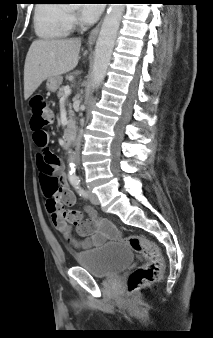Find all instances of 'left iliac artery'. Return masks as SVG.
<instances>
[{
	"mask_svg": "<svg viewBox=\"0 0 213 338\" xmlns=\"http://www.w3.org/2000/svg\"><path fill=\"white\" fill-rule=\"evenodd\" d=\"M80 196L86 197V192L80 187H75Z\"/></svg>",
	"mask_w": 213,
	"mask_h": 338,
	"instance_id": "obj_1",
	"label": "left iliac artery"
}]
</instances>
